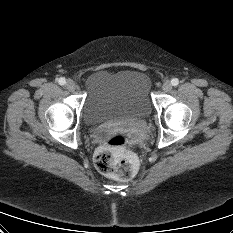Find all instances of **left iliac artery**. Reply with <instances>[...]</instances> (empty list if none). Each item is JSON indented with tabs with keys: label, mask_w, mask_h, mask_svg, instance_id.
Listing matches in <instances>:
<instances>
[{
	"label": "left iliac artery",
	"mask_w": 233,
	"mask_h": 233,
	"mask_svg": "<svg viewBox=\"0 0 233 233\" xmlns=\"http://www.w3.org/2000/svg\"><path fill=\"white\" fill-rule=\"evenodd\" d=\"M171 84H172L173 86H177V85L179 84V80H178L177 78H173V79L171 80Z\"/></svg>",
	"instance_id": "44dca946"
}]
</instances>
